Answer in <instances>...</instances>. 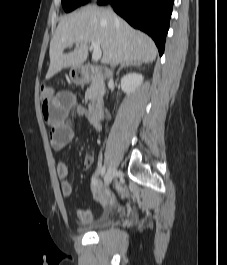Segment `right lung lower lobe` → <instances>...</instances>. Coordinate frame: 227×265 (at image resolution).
<instances>
[{
  "instance_id": "right-lung-lower-lobe-1",
  "label": "right lung lower lobe",
  "mask_w": 227,
  "mask_h": 265,
  "mask_svg": "<svg viewBox=\"0 0 227 265\" xmlns=\"http://www.w3.org/2000/svg\"><path fill=\"white\" fill-rule=\"evenodd\" d=\"M108 2L130 25L150 35L163 54L174 0H100L98 4Z\"/></svg>"
}]
</instances>
